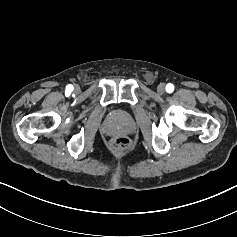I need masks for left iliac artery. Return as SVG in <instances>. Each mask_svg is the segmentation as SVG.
Segmentation results:
<instances>
[{"label":"left iliac artery","instance_id":"obj_1","mask_svg":"<svg viewBox=\"0 0 237 237\" xmlns=\"http://www.w3.org/2000/svg\"><path fill=\"white\" fill-rule=\"evenodd\" d=\"M166 91H167L168 93H172V92L174 91V85L171 84V83H168V84L166 85Z\"/></svg>","mask_w":237,"mask_h":237}]
</instances>
